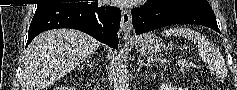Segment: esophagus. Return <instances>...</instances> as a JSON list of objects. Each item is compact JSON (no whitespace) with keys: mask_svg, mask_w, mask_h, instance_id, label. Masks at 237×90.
I'll return each instance as SVG.
<instances>
[{"mask_svg":"<svg viewBox=\"0 0 237 90\" xmlns=\"http://www.w3.org/2000/svg\"><path fill=\"white\" fill-rule=\"evenodd\" d=\"M132 30V19L130 10L124 9L122 10V18L120 24V32L122 33V38L125 42H132L134 40L131 35Z\"/></svg>","mask_w":237,"mask_h":90,"instance_id":"1","label":"esophagus"}]
</instances>
